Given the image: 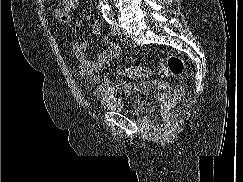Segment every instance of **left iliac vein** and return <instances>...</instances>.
Wrapping results in <instances>:
<instances>
[{
  "mask_svg": "<svg viewBox=\"0 0 243 182\" xmlns=\"http://www.w3.org/2000/svg\"><path fill=\"white\" fill-rule=\"evenodd\" d=\"M121 35L125 37L126 39L129 37L127 32L125 30H122Z\"/></svg>",
  "mask_w": 243,
  "mask_h": 182,
  "instance_id": "obj_1",
  "label": "left iliac vein"
}]
</instances>
